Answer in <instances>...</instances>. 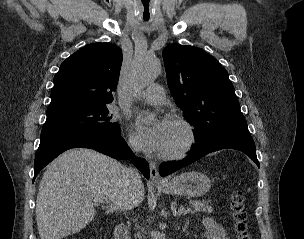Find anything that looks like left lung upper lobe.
Listing matches in <instances>:
<instances>
[{
	"mask_svg": "<svg viewBox=\"0 0 304 239\" xmlns=\"http://www.w3.org/2000/svg\"><path fill=\"white\" fill-rule=\"evenodd\" d=\"M167 82L197 145L228 135L251 136L227 71L193 46L169 45L163 52Z\"/></svg>",
	"mask_w": 304,
	"mask_h": 239,
	"instance_id": "obj_1",
	"label": "left lung upper lobe"
}]
</instances>
